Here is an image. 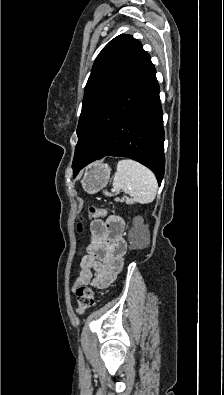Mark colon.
Wrapping results in <instances>:
<instances>
[{"label":"colon","mask_w":224,"mask_h":395,"mask_svg":"<svg viewBox=\"0 0 224 395\" xmlns=\"http://www.w3.org/2000/svg\"><path fill=\"white\" fill-rule=\"evenodd\" d=\"M87 214L89 217L93 218H104L108 215L107 211L95 206H89L87 209ZM78 230L82 231V226H78ZM77 296V308L78 314H84L86 310L91 308L95 302V292L94 290L86 285H80L76 291Z\"/></svg>","instance_id":"colon-1"}]
</instances>
